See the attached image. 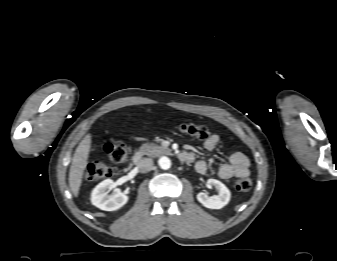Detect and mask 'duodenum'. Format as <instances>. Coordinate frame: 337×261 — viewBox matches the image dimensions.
I'll list each match as a JSON object with an SVG mask.
<instances>
[{"label":"duodenum","mask_w":337,"mask_h":261,"mask_svg":"<svg viewBox=\"0 0 337 261\" xmlns=\"http://www.w3.org/2000/svg\"><path fill=\"white\" fill-rule=\"evenodd\" d=\"M179 158L181 161H184V162H189L191 160L190 154L186 152L180 153ZM142 159H143V155L140 152H136L132 158L133 164L138 165L142 161Z\"/></svg>","instance_id":"duodenum-1"}]
</instances>
